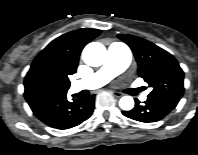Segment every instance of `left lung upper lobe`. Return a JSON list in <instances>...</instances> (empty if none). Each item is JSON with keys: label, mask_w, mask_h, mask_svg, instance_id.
<instances>
[{"label": "left lung upper lobe", "mask_w": 198, "mask_h": 155, "mask_svg": "<svg viewBox=\"0 0 198 155\" xmlns=\"http://www.w3.org/2000/svg\"><path fill=\"white\" fill-rule=\"evenodd\" d=\"M134 52L138 74L153 90L148 98L180 100L184 92V73L176 59L157 45L137 36L119 34Z\"/></svg>", "instance_id": "5c2ea615"}]
</instances>
